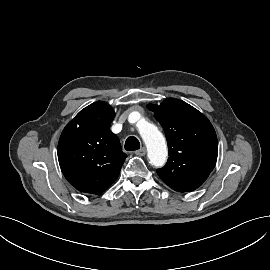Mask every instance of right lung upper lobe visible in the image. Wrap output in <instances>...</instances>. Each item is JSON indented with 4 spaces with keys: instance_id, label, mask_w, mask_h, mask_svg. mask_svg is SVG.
I'll use <instances>...</instances> for the list:
<instances>
[{
    "instance_id": "right-lung-upper-lobe-1",
    "label": "right lung upper lobe",
    "mask_w": 270,
    "mask_h": 270,
    "mask_svg": "<svg viewBox=\"0 0 270 270\" xmlns=\"http://www.w3.org/2000/svg\"><path fill=\"white\" fill-rule=\"evenodd\" d=\"M114 116L108 103L97 101L81 110L62 131L57 149L60 168L81 192L100 194L119 176L127 155L110 130Z\"/></svg>"
}]
</instances>
